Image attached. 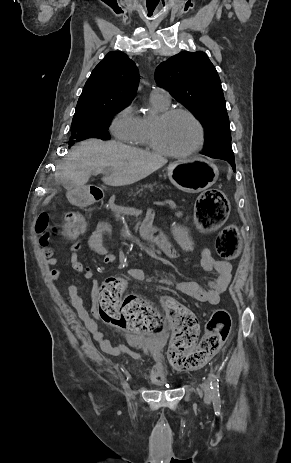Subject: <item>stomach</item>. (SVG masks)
<instances>
[{
    "label": "stomach",
    "mask_w": 291,
    "mask_h": 463,
    "mask_svg": "<svg viewBox=\"0 0 291 463\" xmlns=\"http://www.w3.org/2000/svg\"><path fill=\"white\" fill-rule=\"evenodd\" d=\"M167 172L170 181L188 193H199L211 187L219 175L213 163L198 157L177 160L168 166ZM68 198L74 204L83 205L88 193L85 187H75L68 193Z\"/></svg>",
    "instance_id": "stomach-1"
}]
</instances>
